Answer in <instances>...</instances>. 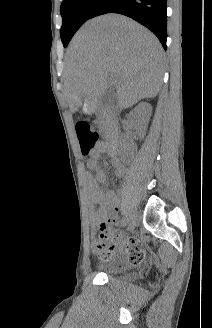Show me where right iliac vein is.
Returning a JSON list of instances; mask_svg holds the SVG:
<instances>
[{
	"instance_id": "1",
	"label": "right iliac vein",
	"mask_w": 212,
	"mask_h": 328,
	"mask_svg": "<svg viewBox=\"0 0 212 328\" xmlns=\"http://www.w3.org/2000/svg\"><path fill=\"white\" fill-rule=\"evenodd\" d=\"M136 222H137V219H136L135 214L131 215L130 221H129V229L130 230H133L135 228Z\"/></svg>"
}]
</instances>
